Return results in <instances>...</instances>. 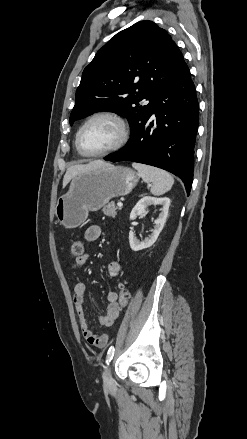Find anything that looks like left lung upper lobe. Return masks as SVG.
<instances>
[{
    "label": "left lung upper lobe",
    "instance_id": "left-lung-upper-lobe-1",
    "mask_svg": "<svg viewBox=\"0 0 247 439\" xmlns=\"http://www.w3.org/2000/svg\"><path fill=\"white\" fill-rule=\"evenodd\" d=\"M166 30L140 21L116 34L84 69L70 115L75 120L98 111L125 116L131 135L151 115L158 93L186 67ZM147 99V105L139 102Z\"/></svg>",
    "mask_w": 247,
    "mask_h": 439
}]
</instances>
